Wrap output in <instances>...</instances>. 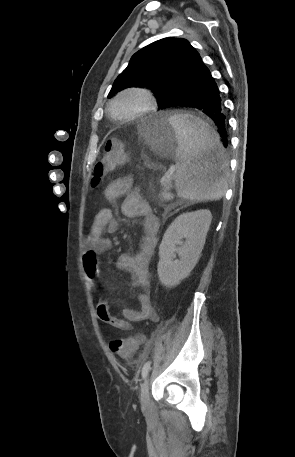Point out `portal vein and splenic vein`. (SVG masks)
I'll list each match as a JSON object with an SVG mask.
<instances>
[{"label":"portal vein and splenic vein","mask_w":295,"mask_h":457,"mask_svg":"<svg viewBox=\"0 0 295 457\" xmlns=\"http://www.w3.org/2000/svg\"><path fill=\"white\" fill-rule=\"evenodd\" d=\"M174 167H171L167 172L164 173V175L161 178V183H166L171 181L173 175H174Z\"/></svg>","instance_id":"portal-vein-and-splenic-vein-1"}]
</instances>
